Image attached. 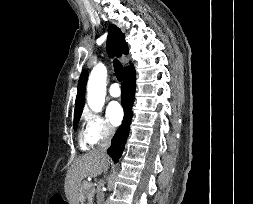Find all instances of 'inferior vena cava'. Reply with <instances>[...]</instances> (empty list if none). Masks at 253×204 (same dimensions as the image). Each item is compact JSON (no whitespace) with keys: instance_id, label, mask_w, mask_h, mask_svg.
<instances>
[{"instance_id":"obj_1","label":"inferior vena cava","mask_w":253,"mask_h":204,"mask_svg":"<svg viewBox=\"0 0 253 204\" xmlns=\"http://www.w3.org/2000/svg\"><path fill=\"white\" fill-rule=\"evenodd\" d=\"M114 134V131L112 129H107L104 135V138L100 141L99 145H98V150L106 155L107 154V149L109 148L110 144H111V138ZM98 204H102L104 201V194L102 192H100L98 194Z\"/></svg>"}]
</instances>
